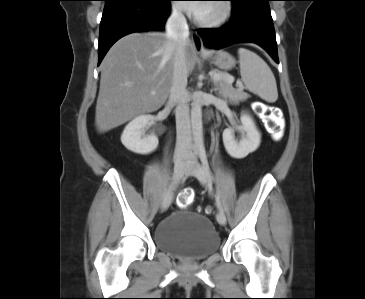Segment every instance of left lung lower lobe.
Returning <instances> with one entry per match:
<instances>
[{
  "instance_id": "1",
  "label": "left lung lower lobe",
  "mask_w": 365,
  "mask_h": 299,
  "mask_svg": "<svg viewBox=\"0 0 365 299\" xmlns=\"http://www.w3.org/2000/svg\"><path fill=\"white\" fill-rule=\"evenodd\" d=\"M233 3L232 18L220 28L199 29L204 44L210 48L253 42L263 47L278 61L275 30L270 13L271 0H229Z\"/></svg>"
}]
</instances>
